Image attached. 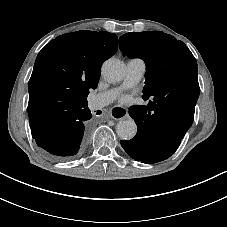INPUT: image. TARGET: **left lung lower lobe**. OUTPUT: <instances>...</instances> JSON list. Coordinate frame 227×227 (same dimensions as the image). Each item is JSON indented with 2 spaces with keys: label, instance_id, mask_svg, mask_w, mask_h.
Wrapping results in <instances>:
<instances>
[{
  "label": "left lung lower lobe",
  "instance_id": "left-lung-lower-lobe-1",
  "mask_svg": "<svg viewBox=\"0 0 227 227\" xmlns=\"http://www.w3.org/2000/svg\"><path fill=\"white\" fill-rule=\"evenodd\" d=\"M199 92L189 88L173 99H151L146 106L130 107L138 130L133 139L120 141L126 153L143 163L169 158L192 125Z\"/></svg>",
  "mask_w": 227,
  "mask_h": 227
}]
</instances>
